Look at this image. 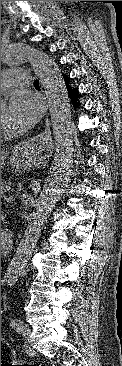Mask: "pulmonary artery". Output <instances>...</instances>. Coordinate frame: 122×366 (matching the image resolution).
Listing matches in <instances>:
<instances>
[{"label":"pulmonary artery","instance_id":"pulmonary-artery-1","mask_svg":"<svg viewBox=\"0 0 122 366\" xmlns=\"http://www.w3.org/2000/svg\"><path fill=\"white\" fill-rule=\"evenodd\" d=\"M29 72L24 70L6 69L1 72V92L18 86L28 85Z\"/></svg>","mask_w":122,"mask_h":366}]
</instances>
